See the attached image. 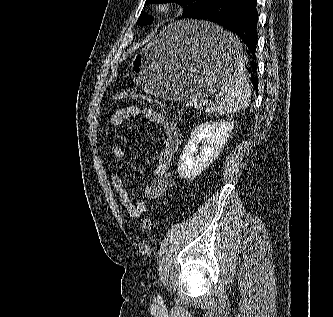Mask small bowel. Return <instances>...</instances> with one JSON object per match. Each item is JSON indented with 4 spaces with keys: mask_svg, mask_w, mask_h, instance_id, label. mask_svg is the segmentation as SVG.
Listing matches in <instances>:
<instances>
[{
    "mask_svg": "<svg viewBox=\"0 0 333 317\" xmlns=\"http://www.w3.org/2000/svg\"><path fill=\"white\" fill-rule=\"evenodd\" d=\"M140 114L159 126L164 133L163 147L152 168L153 178L144 189L145 197L150 200H155L164 195L174 185V181L168 170L171 160L181 142V131L174 123L170 122L155 110L141 108L136 105L121 107L114 111L110 116V123L113 126H121L129 119ZM112 156L117 161L121 162L125 158V150L121 146L115 145L112 148ZM110 178L119 196L120 203L127 214L134 219L140 218L147 211L146 202L142 200L134 201L131 198L123 179L116 171H111Z\"/></svg>",
    "mask_w": 333,
    "mask_h": 317,
    "instance_id": "c3829d8e",
    "label": "small bowel"
}]
</instances>
